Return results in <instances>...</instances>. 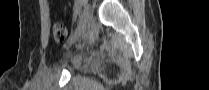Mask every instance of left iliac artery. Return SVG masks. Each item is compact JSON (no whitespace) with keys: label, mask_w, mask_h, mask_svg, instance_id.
Segmentation results:
<instances>
[{"label":"left iliac artery","mask_w":209,"mask_h":90,"mask_svg":"<svg viewBox=\"0 0 209 90\" xmlns=\"http://www.w3.org/2000/svg\"><path fill=\"white\" fill-rule=\"evenodd\" d=\"M84 0H76L74 4L75 17H81Z\"/></svg>","instance_id":"1"}]
</instances>
